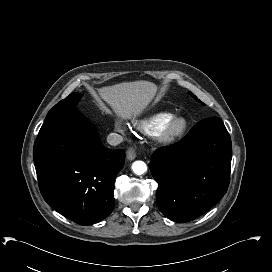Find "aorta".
Listing matches in <instances>:
<instances>
[{"label": "aorta", "instance_id": "762f6f07", "mask_svg": "<svg viewBox=\"0 0 272 272\" xmlns=\"http://www.w3.org/2000/svg\"><path fill=\"white\" fill-rule=\"evenodd\" d=\"M132 170L137 175H142L147 171V165L143 161H135L132 164Z\"/></svg>", "mask_w": 272, "mask_h": 272}]
</instances>
